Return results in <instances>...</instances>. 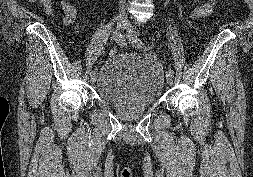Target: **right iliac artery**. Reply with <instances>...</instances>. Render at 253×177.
Returning <instances> with one entry per match:
<instances>
[{"label": "right iliac artery", "instance_id": "right-iliac-artery-1", "mask_svg": "<svg viewBox=\"0 0 253 177\" xmlns=\"http://www.w3.org/2000/svg\"><path fill=\"white\" fill-rule=\"evenodd\" d=\"M114 40L120 45V46H124L125 43V39L122 33L120 32H115L113 35ZM93 72V71H92Z\"/></svg>", "mask_w": 253, "mask_h": 177}]
</instances>
